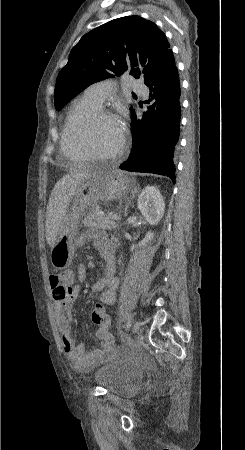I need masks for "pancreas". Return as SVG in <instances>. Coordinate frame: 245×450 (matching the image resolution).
Segmentation results:
<instances>
[{
    "mask_svg": "<svg viewBox=\"0 0 245 450\" xmlns=\"http://www.w3.org/2000/svg\"><path fill=\"white\" fill-rule=\"evenodd\" d=\"M82 224L86 227L103 230H116L117 228V223L113 219L97 210H91Z\"/></svg>",
    "mask_w": 245,
    "mask_h": 450,
    "instance_id": "1",
    "label": "pancreas"
}]
</instances>
